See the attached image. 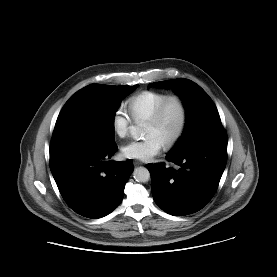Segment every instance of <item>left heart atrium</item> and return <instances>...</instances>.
<instances>
[{
    "label": "left heart atrium",
    "instance_id": "obj_1",
    "mask_svg": "<svg viewBox=\"0 0 277 277\" xmlns=\"http://www.w3.org/2000/svg\"><path fill=\"white\" fill-rule=\"evenodd\" d=\"M164 144L155 135H147L141 140H133L122 148L123 155L130 159L148 161L157 155Z\"/></svg>",
    "mask_w": 277,
    "mask_h": 277
}]
</instances>
